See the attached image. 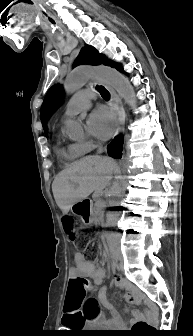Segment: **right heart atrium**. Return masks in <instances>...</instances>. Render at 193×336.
Masks as SVG:
<instances>
[{
	"label": "right heart atrium",
	"instance_id": "right-heart-atrium-1",
	"mask_svg": "<svg viewBox=\"0 0 193 336\" xmlns=\"http://www.w3.org/2000/svg\"><path fill=\"white\" fill-rule=\"evenodd\" d=\"M83 151L86 153V152H89L90 150H92L94 148V143L90 140L88 141H83L80 143Z\"/></svg>",
	"mask_w": 193,
	"mask_h": 336
}]
</instances>
